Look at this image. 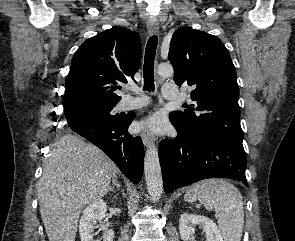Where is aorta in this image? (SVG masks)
Instances as JSON below:
<instances>
[{"label":"aorta","mask_w":295,"mask_h":241,"mask_svg":"<svg viewBox=\"0 0 295 241\" xmlns=\"http://www.w3.org/2000/svg\"><path fill=\"white\" fill-rule=\"evenodd\" d=\"M159 76L168 78L174 74L170 64H160L157 68ZM144 174L148 193L153 201H157L163 192V180L159 163L158 149L150 145L145 153Z\"/></svg>","instance_id":"762f6f07"}]
</instances>
